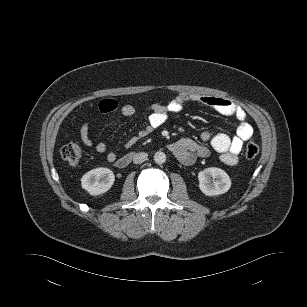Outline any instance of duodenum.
<instances>
[{
    "label": "duodenum",
    "instance_id": "410a0bca",
    "mask_svg": "<svg viewBox=\"0 0 307 307\" xmlns=\"http://www.w3.org/2000/svg\"><path fill=\"white\" fill-rule=\"evenodd\" d=\"M132 156H133L132 153L122 156L121 158L118 159L116 163L117 166L120 168L126 167L131 162Z\"/></svg>",
    "mask_w": 307,
    "mask_h": 307
}]
</instances>
